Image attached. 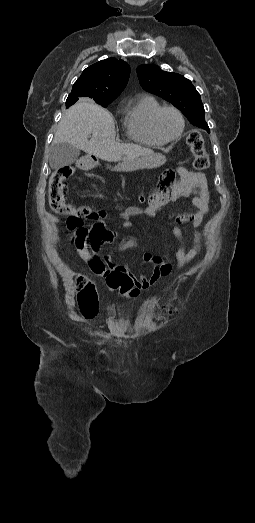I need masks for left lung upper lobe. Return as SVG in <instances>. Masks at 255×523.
Returning <instances> with one entry per match:
<instances>
[{
    "label": "left lung upper lobe",
    "mask_w": 255,
    "mask_h": 523,
    "mask_svg": "<svg viewBox=\"0 0 255 523\" xmlns=\"http://www.w3.org/2000/svg\"><path fill=\"white\" fill-rule=\"evenodd\" d=\"M137 75L143 89L169 101L193 125L210 133L201 96L190 80L176 73L165 72L156 65H140Z\"/></svg>",
    "instance_id": "obj_1"
}]
</instances>
